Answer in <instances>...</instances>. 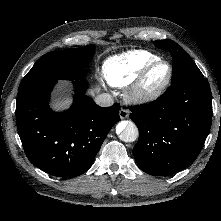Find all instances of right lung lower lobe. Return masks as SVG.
Masks as SVG:
<instances>
[{
    "label": "right lung lower lobe",
    "mask_w": 221,
    "mask_h": 221,
    "mask_svg": "<svg viewBox=\"0 0 221 221\" xmlns=\"http://www.w3.org/2000/svg\"><path fill=\"white\" fill-rule=\"evenodd\" d=\"M71 81L77 93L63 113L48 105L57 81L19 89L17 95L16 121L24 151L32 164L57 177L85 173L110 129L120 121L118 103L100 107L84 94L86 83Z\"/></svg>",
    "instance_id": "obj_1"
}]
</instances>
